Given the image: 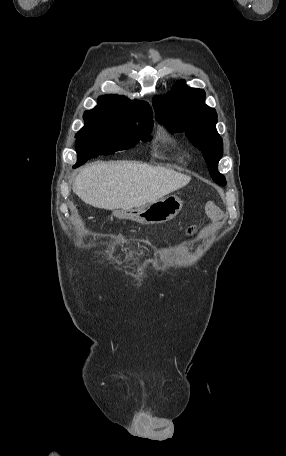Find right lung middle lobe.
<instances>
[{
	"mask_svg": "<svg viewBox=\"0 0 286 456\" xmlns=\"http://www.w3.org/2000/svg\"><path fill=\"white\" fill-rule=\"evenodd\" d=\"M85 126L76 134L78 160L74 168L97 155H110L150 138L153 120H130L111 114L86 111ZM138 123V125H136Z\"/></svg>",
	"mask_w": 286,
	"mask_h": 456,
	"instance_id": "dd1d6c3e",
	"label": "right lung middle lobe"
}]
</instances>
